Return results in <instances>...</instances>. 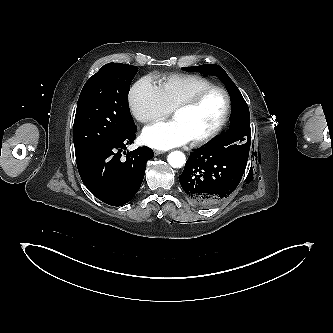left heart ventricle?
<instances>
[{
  "label": "left heart ventricle",
  "instance_id": "b2bd125f",
  "mask_svg": "<svg viewBox=\"0 0 333 333\" xmlns=\"http://www.w3.org/2000/svg\"><path fill=\"white\" fill-rule=\"evenodd\" d=\"M225 110V98L220 92H212L196 107L177 112L173 118L189 134L191 140L212 131L221 120Z\"/></svg>",
  "mask_w": 333,
  "mask_h": 333
}]
</instances>
